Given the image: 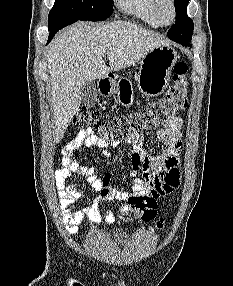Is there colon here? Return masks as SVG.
Listing matches in <instances>:
<instances>
[{"instance_id": "obj_1", "label": "colon", "mask_w": 233, "mask_h": 286, "mask_svg": "<svg viewBox=\"0 0 233 286\" xmlns=\"http://www.w3.org/2000/svg\"><path fill=\"white\" fill-rule=\"evenodd\" d=\"M188 65L179 62L174 67L173 82L166 95L160 100L150 103L146 108L129 115H120L104 118L98 112L86 107L79 109L74 124L80 128L96 129L101 138L111 142L141 135L146 130L159 126L173 117L179 110L187 105L189 88ZM152 204V198L148 193H142L132 197L128 201L132 216L140 217ZM165 218L161 217L156 222V227L163 230Z\"/></svg>"}]
</instances>
